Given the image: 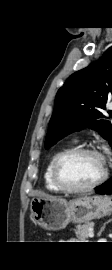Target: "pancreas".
<instances>
[{"label": "pancreas", "instance_id": "1", "mask_svg": "<svg viewBox=\"0 0 112 270\" xmlns=\"http://www.w3.org/2000/svg\"><path fill=\"white\" fill-rule=\"evenodd\" d=\"M92 227H93L92 222H87V223H85L83 225L76 226V229H75L76 237L79 240L85 242L86 239L88 238V234H89Z\"/></svg>", "mask_w": 112, "mask_h": 270}]
</instances>
